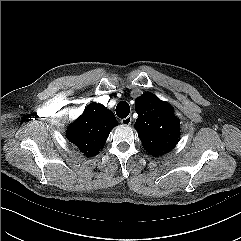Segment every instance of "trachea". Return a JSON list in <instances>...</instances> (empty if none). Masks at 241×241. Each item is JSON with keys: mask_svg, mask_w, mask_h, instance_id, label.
<instances>
[{"mask_svg": "<svg viewBox=\"0 0 241 241\" xmlns=\"http://www.w3.org/2000/svg\"><path fill=\"white\" fill-rule=\"evenodd\" d=\"M130 113L129 104L125 101H121L118 103L116 107V114L119 118H126Z\"/></svg>", "mask_w": 241, "mask_h": 241, "instance_id": "1", "label": "trachea"}]
</instances>
